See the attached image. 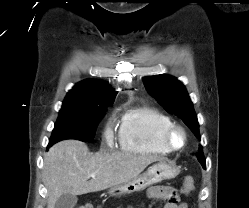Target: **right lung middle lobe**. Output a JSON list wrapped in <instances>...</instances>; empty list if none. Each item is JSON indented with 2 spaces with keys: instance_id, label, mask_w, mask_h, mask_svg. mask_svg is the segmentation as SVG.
I'll use <instances>...</instances> for the list:
<instances>
[{
  "instance_id": "dd1d6c3e",
  "label": "right lung middle lobe",
  "mask_w": 249,
  "mask_h": 208,
  "mask_svg": "<svg viewBox=\"0 0 249 208\" xmlns=\"http://www.w3.org/2000/svg\"><path fill=\"white\" fill-rule=\"evenodd\" d=\"M106 108L89 106L62 107L48 147L64 139L91 141Z\"/></svg>"
}]
</instances>
